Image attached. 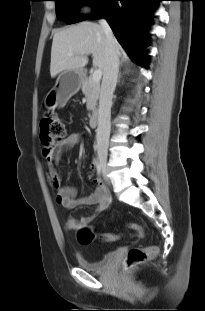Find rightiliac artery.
Instances as JSON below:
<instances>
[{"label":"right iliac artery","instance_id":"1","mask_svg":"<svg viewBox=\"0 0 205 311\" xmlns=\"http://www.w3.org/2000/svg\"><path fill=\"white\" fill-rule=\"evenodd\" d=\"M95 166H96L98 175H101L102 165H101V163L98 160L95 161Z\"/></svg>","mask_w":205,"mask_h":311}]
</instances>
